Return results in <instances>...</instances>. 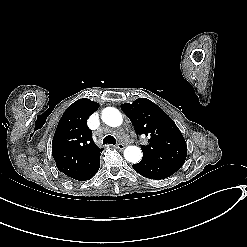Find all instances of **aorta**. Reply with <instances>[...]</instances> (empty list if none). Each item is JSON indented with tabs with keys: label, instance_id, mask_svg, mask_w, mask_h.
I'll return each instance as SVG.
<instances>
[{
	"label": "aorta",
	"instance_id": "762f6f07",
	"mask_svg": "<svg viewBox=\"0 0 247 247\" xmlns=\"http://www.w3.org/2000/svg\"><path fill=\"white\" fill-rule=\"evenodd\" d=\"M101 117L103 122L111 127H118L123 121L122 114L114 107L104 108ZM124 158L128 162L138 163L142 158V151L137 146H128L124 150Z\"/></svg>",
	"mask_w": 247,
	"mask_h": 247
}]
</instances>
